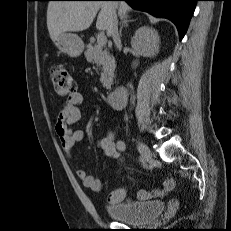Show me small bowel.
Wrapping results in <instances>:
<instances>
[{
  "mask_svg": "<svg viewBox=\"0 0 231 231\" xmlns=\"http://www.w3.org/2000/svg\"><path fill=\"white\" fill-rule=\"evenodd\" d=\"M83 96L76 92L69 96L62 108L59 110L55 121V133L60 140L62 149L70 160H74V146L83 139L84 133L80 129H72L71 125L78 122L82 117L81 105ZM119 141H116L113 131H108L105 136L97 140V146L108 157L122 160L119 150ZM78 178L83 182L84 186L93 190L100 191L102 183L99 179L89 175L85 170L79 169L76 171ZM175 187V180L172 177H166L161 187L147 192L141 191L138 193V198L141 200L149 198L164 197L169 191ZM126 198L125 188H118L112 191L107 196V202L110 205H116Z\"/></svg>",
  "mask_w": 231,
  "mask_h": 231,
  "instance_id": "obj_1",
  "label": "small bowel"
}]
</instances>
